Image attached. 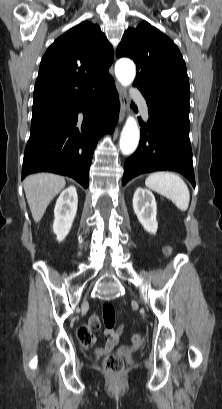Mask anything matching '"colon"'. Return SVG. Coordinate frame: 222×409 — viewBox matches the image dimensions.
<instances>
[{
    "label": "colon",
    "instance_id": "5ec220e1",
    "mask_svg": "<svg viewBox=\"0 0 222 409\" xmlns=\"http://www.w3.org/2000/svg\"><path fill=\"white\" fill-rule=\"evenodd\" d=\"M164 253L166 256H169L171 254V247H165ZM102 317L106 328L111 329L115 323V310L112 304H103ZM77 336L82 343H85L89 341L91 335L89 334L86 326H81L77 330ZM132 341L135 344H140L142 343L143 338L140 334H134L132 336ZM103 366L107 372L113 375H119L124 370V359L120 355H110L105 357Z\"/></svg>",
    "mask_w": 222,
    "mask_h": 409
}]
</instances>
